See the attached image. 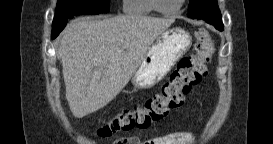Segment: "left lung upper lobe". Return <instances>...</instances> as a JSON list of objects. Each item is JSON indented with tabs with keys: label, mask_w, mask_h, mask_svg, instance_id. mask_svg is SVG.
Returning <instances> with one entry per match:
<instances>
[{
	"label": "left lung upper lobe",
	"mask_w": 273,
	"mask_h": 144,
	"mask_svg": "<svg viewBox=\"0 0 273 144\" xmlns=\"http://www.w3.org/2000/svg\"><path fill=\"white\" fill-rule=\"evenodd\" d=\"M210 9H219L217 0H190L188 17L195 19L197 16Z\"/></svg>",
	"instance_id": "left-lung-upper-lobe-1"
}]
</instances>
